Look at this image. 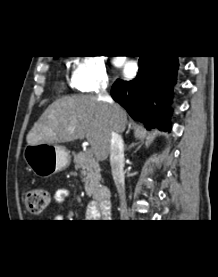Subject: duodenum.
Returning <instances> with one entry per match:
<instances>
[{
    "label": "duodenum",
    "instance_id": "410a0bca",
    "mask_svg": "<svg viewBox=\"0 0 218 277\" xmlns=\"http://www.w3.org/2000/svg\"><path fill=\"white\" fill-rule=\"evenodd\" d=\"M95 200L99 203L103 213H108L111 207V190L109 188H101L96 192Z\"/></svg>",
    "mask_w": 218,
    "mask_h": 277
}]
</instances>
